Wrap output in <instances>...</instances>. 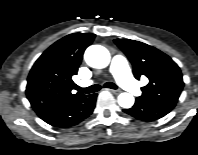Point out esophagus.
Returning a JSON list of instances; mask_svg holds the SVG:
<instances>
[{
  "instance_id": "esophagus-1",
  "label": "esophagus",
  "mask_w": 198,
  "mask_h": 155,
  "mask_svg": "<svg viewBox=\"0 0 198 155\" xmlns=\"http://www.w3.org/2000/svg\"><path fill=\"white\" fill-rule=\"evenodd\" d=\"M111 92L114 94H119L121 92V90H111Z\"/></svg>"
}]
</instances>
